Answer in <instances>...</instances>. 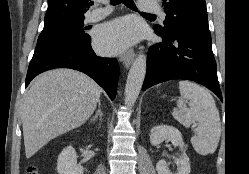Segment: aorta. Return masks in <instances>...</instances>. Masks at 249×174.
<instances>
[{"instance_id": "aorta-1", "label": "aorta", "mask_w": 249, "mask_h": 174, "mask_svg": "<svg viewBox=\"0 0 249 174\" xmlns=\"http://www.w3.org/2000/svg\"><path fill=\"white\" fill-rule=\"evenodd\" d=\"M147 67V57L143 53H139L135 58L127 77L125 86V104L128 107H132L141 90Z\"/></svg>"}]
</instances>
